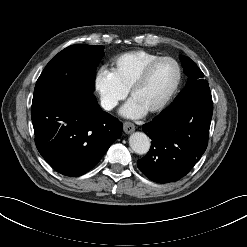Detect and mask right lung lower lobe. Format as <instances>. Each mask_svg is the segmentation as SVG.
I'll use <instances>...</instances> for the list:
<instances>
[{
  "instance_id": "98d812e1",
  "label": "right lung lower lobe",
  "mask_w": 247,
  "mask_h": 247,
  "mask_svg": "<svg viewBox=\"0 0 247 247\" xmlns=\"http://www.w3.org/2000/svg\"><path fill=\"white\" fill-rule=\"evenodd\" d=\"M31 116L39 153L65 176L87 173L122 135V123L97 101L78 103L59 93L32 104Z\"/></svg>"
}]
</instances>
